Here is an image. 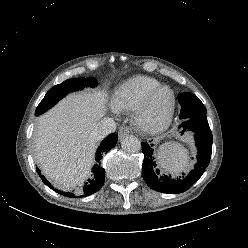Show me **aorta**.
<instances>
[{
    "instance_id": "762f6f07",
    "label": "aorta",
    "mask_w": 248,
    "mask_h": 248,
    "mask_svg": "<svg viewBox=\"0 0 248 248\" xmlns=\"http://www.w3.org/2000/svg\"><path fill=\"white\" fill-rule=\"evenodd\" d=\"M121 147L128 153H135L140 151L141 143L137 137L129 135L121 141Z\"/></svg>"
}]
</instances>
